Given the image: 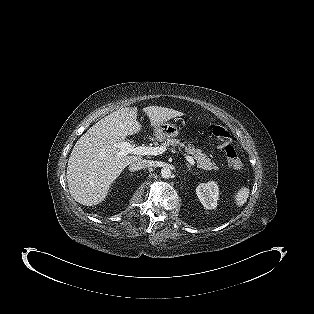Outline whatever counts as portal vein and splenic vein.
<instances>
[{
  "label": "portal vein and splenic vein",
  "mask_w": 314,
  "mask_h": 314,
  "mask_svg": "<svg viewBox=\"0 0 314 314\" xmlns=\"http://www.w3.org/2000/svg\"><path fill=\"white\" fill-rule=\"evenodd\" d=\"M114 147L119 150L118 156H126L128 154L135 155H159L163 154L167 149L164 146L151 147V146H135L129 142L115 143ZM186 161L190 165H195V161L191 156H185Z\"/></svg>",
  "instance_id": "obj_1"
}]
</instances>
